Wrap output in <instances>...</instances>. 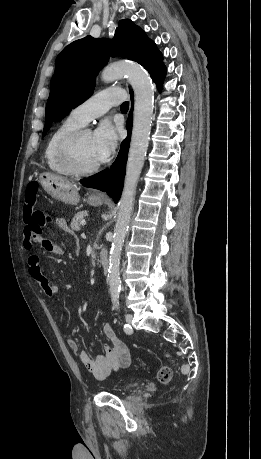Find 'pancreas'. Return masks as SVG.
I'll return each instance as SVG.
<instances>
[{
  "label": "pancreas",
  "mask_w": 261,
  "mask_h": 459,
  "mask_svg": "<svg viewBox=\"0 0 261 459\" xmlns=\"http://www.w3.org/2000/svg\"><path fill=\"white\" fill-rule=\"evenodd\" d=\"M87 215H88V212L86 210L78 212L74 216V218H73V220L71 222V225H70L71 229L74 230V231H78L80 229V223H81L82 219L84 217H86Z\"/></svg>",
  "instance_id": "cf45deb5"
}]
</instances>
